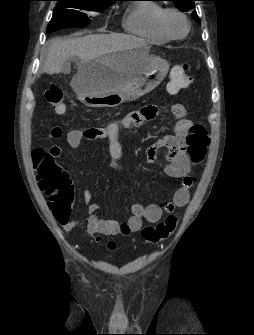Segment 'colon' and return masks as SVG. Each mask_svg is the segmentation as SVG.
<instances>
[{
	"mask_svg": "<svg viewBox=\"0 0 254 335\" xmlns=\"http://www.w3.org/2000/svg\"><path fill=\"white\" fill-rule=\"evenodd\" d=\"M188 65H176L170 72L168 91L176 93L190 84ZM45 98L54 112L62 114L66 110L63 92L57 86H51L45 92ZM187 151L194 164L201 163L207 154L210 137L206 128L200 124H193L186 138ZM61 153L60 147L51 146L48 150L35 149L32 152V160L37 173V184L44 194L50 199L48 206L53 214L62 219L66 218V209H71L73 189L68 173L60 167L55 158ZM177 218L168 215L156 225H149L142 229V237L145 241L156 244L167 239L175 230ZM115 244L108 243V248L113 249Z\"/></svg>",
	"mask_w": 254,
	"mask_h": 335,
	"instance_id": "colon-1",
	"label": "colon"
}]
</instances>
